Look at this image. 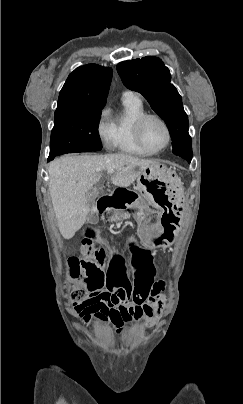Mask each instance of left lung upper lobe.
<instances>
[{
	"instance_id": "obj_1",
	"label": "left lung upper lobe",
	"mask_w": 243,
	"mask_h": 404,
	"mask_svg": "<svg viewBox=\"0 0 243 404\" xmlns=\"http://www.w3.org/2000/svg\"><path fill=\"white\" fill-rule=\"evenodd\" d=\"M117 71L124 85L140 92L165 121L172 138L173 153L192 156L188 117L181 96L170 83L169 69L163 62L157 57L147 56L121 62L117 65Z\"/></svg>"
}]
</instances>
